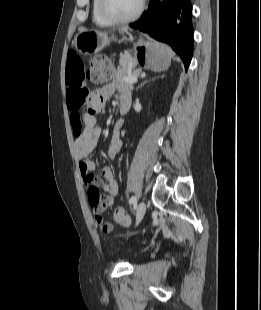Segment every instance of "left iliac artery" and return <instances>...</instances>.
Listing matches in <instances>:
<instances>
[{"label":"left iliac artery","instance_id":"obj_1","mask_svg":"<svg viewBox=\"0 0 261 310\" xmlns=\"http://www.w3.org/2000/svg\"><path fill=\"white\" fill-rule=\"evenodd\" d=\"M136 197L135 196H132L130 199H129V204H133L136 202Z\"/></svg>","mask_w":261,"mask_h":310}]
</instances>
